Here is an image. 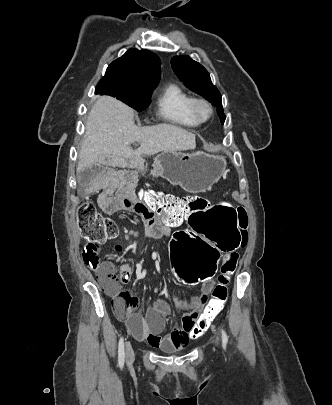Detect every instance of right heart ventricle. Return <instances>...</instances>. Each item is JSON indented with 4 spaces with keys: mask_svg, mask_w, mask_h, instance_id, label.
Returning <instances> with one entry per match:
<instances>
[{
    "mask_svg": "<svg viewBox=\"0 0 332 405\" xmlns=\"http://www.w3.org/2000/svg\"><path fill=\"white\" fill-rule=\"evenodd\" d=\"M193 96L177 84L164 87L156 99L159 117L175 125L196 127L201 122L196 120L190 111Z\"/></svg>",
    "mask_w": 332,
    "mask_h": 405,
    "instance_id": "1",
    "label": "right heart ventricle"
}]
</instances>
